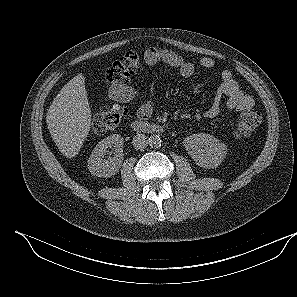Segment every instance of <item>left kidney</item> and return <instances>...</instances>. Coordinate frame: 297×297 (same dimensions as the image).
I'll return each mask as SVG.
<instances>
[{
	"instance_id": "5707ae66",
	"label": "left kidney",
	"mask_w": 297,
	"mask_h": 297,
	"mask_svg": "<svg viewBox=\"0 0 297 297\" xmlns=\"http://www.w3.org/2000/svg\"><path fill=\"white\" fill-rule=\"evenodd\" d=\"M183 145L196 164L206 169L220 165L227 154L226 145L206 133L188 136Z\"/></svg>"
}]
</instances>
